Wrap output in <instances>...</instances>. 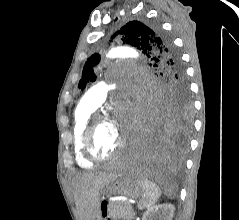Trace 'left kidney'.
<instances>
[{
  "mask_svg": "<svg viewBox=\"0 0 239 220\" xmlns=\"http://www.w3.org/2000/svg\"><path fill=\"white\" fill-rule=\"evenodd\" d=\"M175 207L172 204L151 206L145 211L142 220H172Z\"/></svg>",
  "mask_w": 239,
  "mask_h": 220,
  "instance_id": "5707ae66",
  "label": "left kidney"
}]
</instances>
